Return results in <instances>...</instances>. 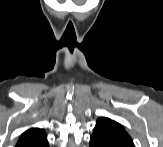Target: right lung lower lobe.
I'll return each instance as SVG.
<instances>
[{"instance_id": "right-lung-lower-lobe-1", "label": "right lung lower lobe", "mask_w": 163, "mask_h": 147, "mask_svg": "<svg viewBox=\"0 0 163 147\" xmlns=\"http://www.w3.org/2000/svg\"><path fill=\"white\" fill-rule=\"evenodd\" d=\"M16 147H49L46 135L20 138Z\"/></svg>"}]
</instances>
